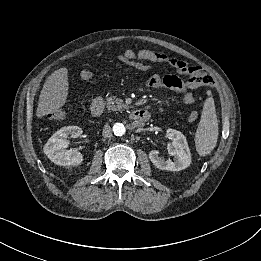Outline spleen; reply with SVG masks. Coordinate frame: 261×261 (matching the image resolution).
I'll return each instance as SVG.
<instances>
[{
    "label": "spleen",
    "mask_w": 261,
    "mask_h": 261,
    "mask_svg": "<svg viewBox=\"0 0 261 261\" xmlns=\"http://www.w3.org/2000/svg\"><path fill=\"white\" fill-rule=\"evenodd\" d=\"M208 95H210L209 92ZM217 139L218 120L214 99L212 97H208L205 100L201 120L195 135V145L199 155L205 156L210 154L216 146Z\"/></svg>",
    "instance_id": "obj_1"
}]
</instances>
